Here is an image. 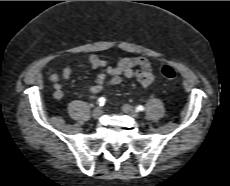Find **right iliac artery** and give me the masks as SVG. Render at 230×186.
<instances>
[{
    "label": "right iliac artery",
    "instance_id": "right-iliac-artery-1",
    "mask_svg": "<svg viewBox=\"0 0 230 186\" xmlns=\"http://www.w3.org/2000/svg\"><path fill=\"white\" fill-rule=\"evenodd\" d=\"M106 102V99L104 97H101L98 99L97 103L100 105V106H103Z\"/></svg>",
    "mask_w": 230,
    "mask_h": 186
}]
</instances>
